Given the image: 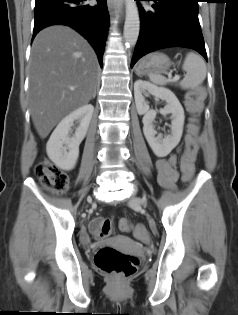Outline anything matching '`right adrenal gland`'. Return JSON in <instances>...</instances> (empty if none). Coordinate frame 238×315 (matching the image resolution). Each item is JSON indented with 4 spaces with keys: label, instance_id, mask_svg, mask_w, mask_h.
Instances as JSON below:
<instances>
[{
    "label": "right adrenal gland",
    "instance_id": "right-adrenal-gland-1",
    "mask_svg": "<svg viewBox=\"0 0 238 315\" xmlns=\"http://www.w3.org/2000/svg\"><path fill=\"white\" fill-rule=\"evenodd\" d=\"M95 96H96V91H95L94 94H93V98H95Z\"/></svg>",
    "mask_w": 238,
    "mask_h": 315
}]
</instances>
